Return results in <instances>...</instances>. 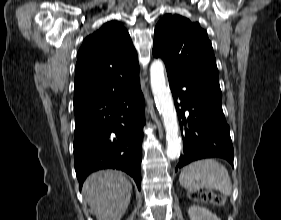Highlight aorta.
<instances>
[{"label":"aorta","instance_id":"762f6f07","mask_svg":"<svg viewBox=\"0 0 281 220\" xmlns=\"http://www.w3.org/2000/svg\"><path fill=\"white\" fill-rule=\"evenodd\" d=\"M165 66L161 60H154L150 67L151 88L156 107L163 118L166 131L167 150L166 155L173 160L179 157L181 141L179 138V125L176 111L169 87L164 76Z\"/></svg>","mask_w":281,"mask_h":220}]
</instances>
